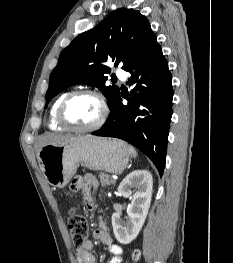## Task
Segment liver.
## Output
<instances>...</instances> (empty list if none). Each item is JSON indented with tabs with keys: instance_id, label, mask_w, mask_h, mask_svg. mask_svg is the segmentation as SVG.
<instances>
[{
	"instance_id": "1",
	"label": "liver",
	"mask_w": 233,
	"mask_h": 263,
	"mask_svg": "<svg viewBox=\"0 0 233 263\" xmlns=\"http://www.w3.org/2000/svg\"><path fill=\"white\" fill-rule=\"evenodd\" d=\"M71 137L72 136L70 135H63V134H58V133H49V132L45 133L37 139L35 146H34L35 151L36 153H38L40 148L45 145L54 144V143L60 142L65 139H69Z\"/></svg>"
}]
</instances>
